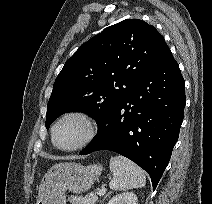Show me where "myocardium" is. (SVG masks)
I'll return each instance as SVG.
<instances>
[{
  "mask_svg": "<svg viewBox=\"0 0 212 204\" xmlns=\"http://www.w3.org/2000/svg\"><path fill=\"white\" fill-rule=\"evenodd\" d=\"M71 118L78 119L83 123L85 127L84 137L79 143H77L76 145L72 147H67V148L61 147L60 145L57 144L55 139L56 128L58 127L60 123ZM96 134H97V124L95 119L90 114L83 111H78V110L65 112L54 122L51 128V140L53 145L57 149L64 152H73V151H77L86 147L95 138Z\"/></svg>",
  "mask_w": 212,
  "mask_h": 204,
  "instance_id": "f54148a6",
  "label": "myocardium"
}]
</instances>
